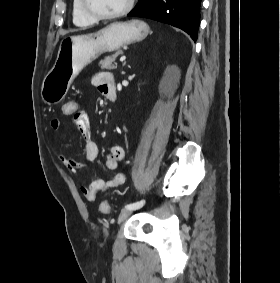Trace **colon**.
<instances>
[{"instance_id":"obj_1","label":"colon","mask_w":280,"mask_h":283,"mask_svg":"<svg viewBox=\"0 0 280 283\" xmlns=\"http://www.w3.org/2000/svg\"><path fill=\"white\" fill-rule=\"evenodd\" d=\"M61 116H75V112H81L78 99H65V103H62L60 107ZM100 211L102 214H109L111 211L110 205L107 202L100 204Z\"/></svg>"}]
</instances>
